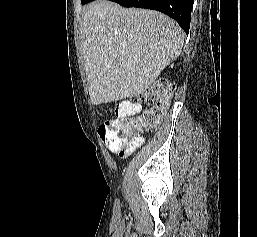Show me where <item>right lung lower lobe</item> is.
Instances as JSON below:
<instances>
[{
  "mask_svg": "<svg viewBox=\"0 0 257 237\" xmlns=\"http://www.w3.org/2000/svg\"><path fill=\"white\" fill-rule=\"evenodd\" d=\"M124 7H138L160 11L175 19L188 33L194 0H110Z\"/></svg>",
  "mask_w": 257,
  "mask_h": 237,
  "instance_id": "1",
  "label": "right lung lower lobe"
}]
</instances>
